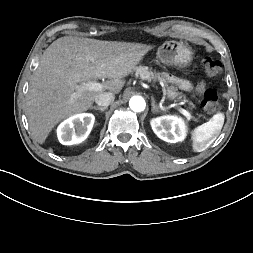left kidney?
<instances>
[{
  "mask_svg": "<svg viewBox=\"0 0 253 253\" xmlns=\"http://www.w3.org/2000/svg\"><path fill=\"white\" fill-rule=\"evenodd\" d=\"M154 133L162 140L169 143L183 141L186 136L184 121L177 116L165 115L151 120Z\"/></svg>",
  "mask_w": 253,
  "mask_h": 253,
  "instance_id": "5707ae66",
  "label": "left kidney"
}]
</instances>
